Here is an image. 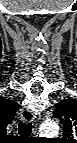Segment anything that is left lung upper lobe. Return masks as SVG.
I'll return each mask as SVG.
<instances>
[{"label": "left lung upper lobe", "mask_w": 77, "mask_h": 143, "mask_svg": "<svg viewBox=\"0 0 77 143\" xmlns=\"http://www.w3.org/2000/svg\"><path fill=\"white\" fill-rule=\"evenodd\" d=\"M54 117L59 118L63 124L65 139H74L77 135V100L64 99L56 105Z\"/></svg>", "instance_id": "obj_1"}]
</instances>
